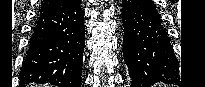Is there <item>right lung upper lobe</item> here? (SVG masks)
<instances>
[{
	"instance_id": "1",
	"label": "right lung upper lobe",
	"mask_w": 205,
	"mask_h": 87,
	"mask_svg": "<svg viewBox=\"0 0 205 87\" xmlns=\"http://www.w3.org/2000/svg\"><path fill=\"white\" fill-rule=\"evenodd\" d=\"M67 0H44L42 2V6L40 8V12L41 11H46L55 7H58L60 5H62L63 3H65Z\"/></svg>"
}]
</instances>
